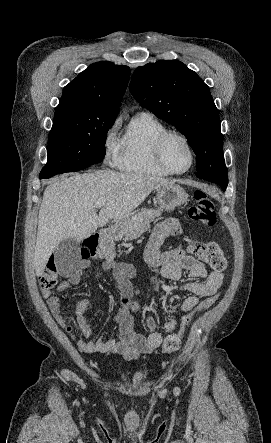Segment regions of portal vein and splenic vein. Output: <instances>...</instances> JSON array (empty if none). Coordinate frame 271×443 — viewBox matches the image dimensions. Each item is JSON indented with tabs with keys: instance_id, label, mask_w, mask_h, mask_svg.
Segmentation results:
<instances>
[{
	"instance_id": "18ae733b",
	"label": "portal vein and splenic vein",
	"mask_w": 271,
	"mask_h": 443,
	"mask_svg": "<svg viewBox=\"0 0 271 443\" xmlns=\"http://www.w3.org/2000/svg\"><path fill=\"white\" fill-rule=\"evenodd\" d=\"M106 200H100V202H95L94 208H103L105 206Z\"/></svg>"
}]
</instances>
